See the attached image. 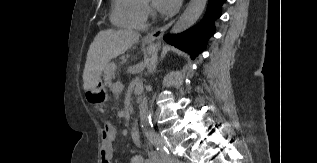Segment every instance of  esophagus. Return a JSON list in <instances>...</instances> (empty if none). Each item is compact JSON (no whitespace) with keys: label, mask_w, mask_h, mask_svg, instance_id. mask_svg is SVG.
Here are the masks:
<instances>
[{"label":"esophagus","mask_w":317,"mask_h":163,"mask_svg":"<svg viewBox=\"0 0 317 163\" xmlns=\"http://www.w3.org/2000/svg\"><path fill=\"white\" fill-rule=\"evenodd\" d=\"M174 23V20L169 22L168 24L157 28L151 32H149L148 34H146V36L144 37V40L147 42H152L155 41L157 39H159L166 30H168V28Z\"/></svg>","instance_id":"1"}]
</instances>
